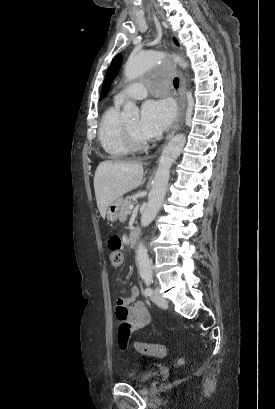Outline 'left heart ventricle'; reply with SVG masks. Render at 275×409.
<instances>
[{
    "label": "left heart ventricle",
    "instance_id": "1",
    "mask_svg": "<svg viewBox=\"0 0 275 409\" xmlns=\"http://www.w3.org/2000/svg\"><path fill=\"white\" fill-rule=\"evenodd\" d=\"M127 126L129 127V129L132 131V133L134 134V136L141 142H146L149 141L148 138H146L144 135H142V133L139 130V124H140V120L139 117L134 118L132 120H130L129 122L126 123Z\"/></svg>",
    "mask_w": 275,
    "mask_h": 409
}]
</instances>
